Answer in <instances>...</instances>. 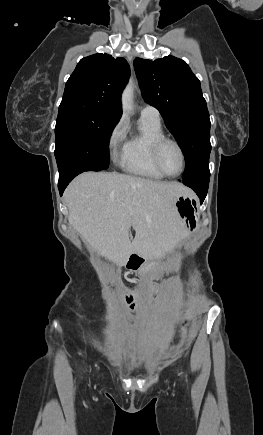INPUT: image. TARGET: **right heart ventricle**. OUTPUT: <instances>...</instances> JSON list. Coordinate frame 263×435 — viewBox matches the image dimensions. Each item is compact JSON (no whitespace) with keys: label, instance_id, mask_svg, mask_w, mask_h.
<instances>
[{"label":"right heart ventricle","instance_id":"e07e8e85","mask_svg":"<svg viewBox=\"0 0 263 435\" xmlns=\"http://www.w3.org/2000/svg\"><path fill=\"white\" fill-rule=\"evenodd\" d=\"M161 137H164L161 122L141 116L138 131L123 145L120 162L122 168L132 175L155 180L162 179L164 176L152 161L153 145Z\"/></svg>","mask_w":263,"mask_h":435}]
</instances>
